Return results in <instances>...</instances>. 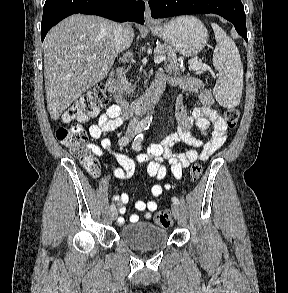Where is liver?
<instances>
[{
    "label": "liver",
    "instance_id": "6515ba94",
    "mask_svg": "<svg viewBox=\"0 0 288 293\" xmlns=\"http://www.w3.org/2000/svg\"><path fill=\"white\" fill-rule=\"evenodd\" d=\"M117 23L93 15L67 17L44 40V78L47 108L53 120L84 92L108 74L115 58L133 42L131 25L120 50L116 49ZM95 56L94 60H89Z\"/></svg>",
    "mask_w": 288,
    "mask_h": 293
}]
</instances>
